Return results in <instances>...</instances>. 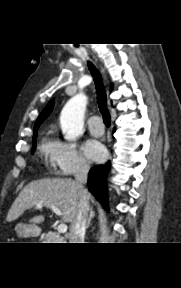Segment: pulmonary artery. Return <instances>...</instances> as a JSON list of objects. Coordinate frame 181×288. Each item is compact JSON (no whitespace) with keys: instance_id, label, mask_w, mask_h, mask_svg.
I'll list each match as a JSON object with an SVG mask.
<instances>
[{"instance_id":"obj_1","label":"pulmonary artery","mask_w":181,"mask_h":288,"mask_svg":"<svg viewBox=\"0 0 181 288\" xmlns=\"http://www.w3.org/2000/svg\"><path fill=\"white\" fill-rule=\"evenodd\" d=\"M88 129L94 136H101L104 133L103 123L98 115H94L89 119Z\"/></svg>"}]
</instances>
